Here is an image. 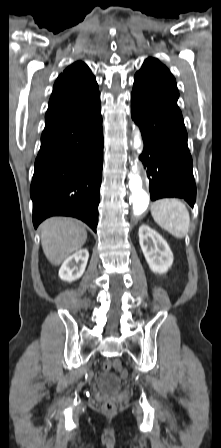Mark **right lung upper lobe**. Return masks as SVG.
I'll list each match as a JSON object with an SVG mask.
<instances>
[{
    "mask_svg": "<svg viewBox=\"0 0 221 448\" xmlns=\"http://www.w3.org/2000/svg\"><path fill=\"white\" fill-rule=\"evenodd\" d=\"M99 93L98 85L89 67L75 62L57 78L45 120H51L83 103Z\"/></svg>",
    "mask_w": 221,
    "mask_h": 448,
    "instance_id": "right-lung-upper-lobe-1",
    "label": "right lung upper lobe"
}]
</instances>
